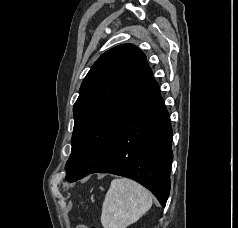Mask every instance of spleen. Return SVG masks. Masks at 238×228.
<instances>
[{
    "label": "spleen",
    "mask_w": 238,
    "mask_h": 228,
    "mask_svg": "<svg viewBox=\"0 0 238 228\" xmlns=\"http://www.w3.org/2000/svg\"><path fill=\"white\" fill-rule=\"evenodd\" d=\"M151 206L152 195L146 188L131 179H114L102 205L101 224L104 228H126Z\"/></svg>",
    "instance_id": "3e777b00"
}]
</instances>
